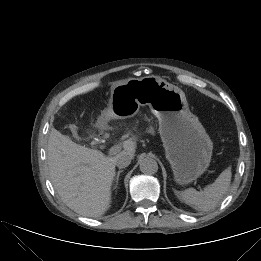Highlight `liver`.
Wrapping results in <instances>:
<instances>
[{
	"mask_svg": "<svg viewBox=\"0 0 261 261\" xmlns=\"http://www.w3.org/2000/svg\"><path fill=\"white\" fill-rule=\"evenodd\" d=\"M107 122L103 115L98 118V124ZM122 146L120 153L135 156L133 141L126 140ZM47 163L51 182L70 209L87 217H100L109 209L116 156L106 157L98 150L83 147L53 128L47 145Z\"/></svg>",
	"mask_w": 261,
	"mask_h": 261,
	"instance_id": "6515ba94",
	"label": "liver"
}]
</instances>
